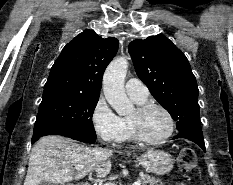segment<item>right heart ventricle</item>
I'll return each instance as SVG.
<instances>
[{"label":"right heart ventricle","mask_w":233,"mask_h":185,"mask_svg":"<svg viewBox=\"0 0 233 185\" xmlns=\"http://www.w3.org/2000/svg\"><path fill=\"white\" fill-rule=\"evenodd\" d=\"M132 100L136 104H141V103L145 102L146 99H135V98H132ZM123 122H124V125H125V133H124L122 141H133V140H135V137H134V134H133V130H132L129 118H123Z\"/></svg>","instance_id":"obj_1"}]
</instances>
